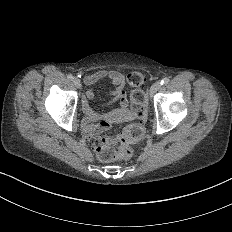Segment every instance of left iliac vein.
<instances>
[{
    "label": "left iliac vein",
    "mask_w": 232,
    "mask_h": 232,
    "mask_svg": "<svg viewBox=\"0 0 232 232\" xmlns=\"http://www.w3.org/2000/svg\"><path fill=\"white\" fill-rule=\"evenodd\" d=\"M161 87L159 82L153 83L152 88L149 91V97L152 98L153 93H157V90Z\"/></svg>",
    "instance_id": "1"
}]
</instances>
